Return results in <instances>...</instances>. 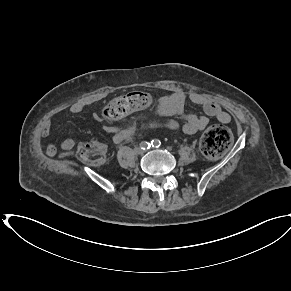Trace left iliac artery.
<instances>
[{"label":"left iliac artery","mask_w":291,"mask_h":291,"mask_svg":"<svg viewBox=\"0 0 291 291\" xmlns=\"http://www.w3.org/2000/svg\"><path fill=\"white\" fill-rule=\"evenodd\" d=\"M152 147L158 148L161 145V141L158 139H154L151 141Z\"/></svg>","instance_id":"obj_1"}]
</instances>
